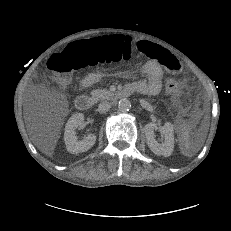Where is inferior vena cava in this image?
I'll list each match as a JSON object with an SVG mask.
<instances>
[{
    "label": "inferior vena cava",
    "instance_id": "obj_1",
    "mask_svg": "<svg viewBox=\"0 0 231 231\" xmlns=\"http://www.w3.org/2000/svg\"><path fill=\"white\" fill-rule=\"evenodd\" d=\"M110 108H111V104L107 101H103L98 106V112L99 113H105V112L109 111Z\"/></svg>",
    "mask_w": 231,
    "mask_h": 231
}]
</instances>
